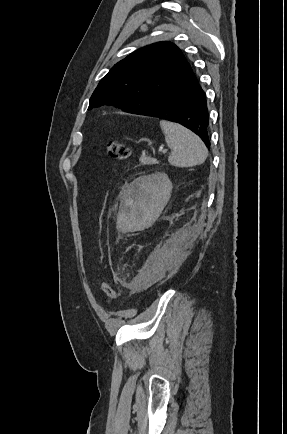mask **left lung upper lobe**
I'll return each mask as SVG.
<instances>
[{
    "label": "left lung upper lobe",
    "mask_w": 287,
    "mask_h": 434,
    "mask_svg": "<svg viewBox=\"0 0 287 434\" xmlns=\"http://www.w3.org/2000/svg\"><path fill=\"white\" fill-rule=\"evenodd\" d=\"M191 71L173 43L148 45L112 67L93 92L88 109L109 104L137 114L155 105Z\"/></svg>",
    "instance_id": "1"
}]
</instances>
